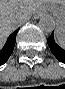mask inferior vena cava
Here are the masks:
<instances>
[{"label":"inferior vena cava","instance_id":"1","mask_svg":"<svg viewBox=\"0 0 65 89\" xmlns=\"http://www.w3.org/2000/svg\"><path fill=\"white\" fill-rule=\"evenodd\" d=\"M25 21H27V19L18 20V21L16 22L15 27L18 26V25H21V24L24 23Z\"/></svg>","mask_w":65,"mask_h":89}]
</instances>
